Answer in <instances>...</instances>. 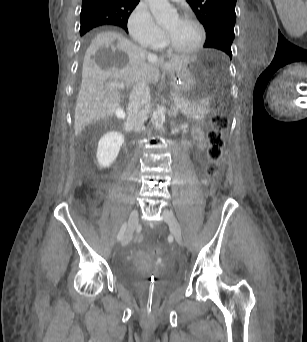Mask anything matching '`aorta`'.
Segmentation results:
<instances>
[{
  "instance_id": "762f6f07",
  "label": "aorta",
  "mask_w": 307,
  "mask_h": 342,
  "mask_svg": "<svg viewBox=\"0 0 307 342\" xmlns=\"http://www.w3.org/2000/svg\"><path fill=\"white\" fill-rule=\"evenodd\" d=\"M147 2L151 14L152 16H154L159 26H169V24H172V22H177L179 18L177 10H175V8H172L168 0H147ZM165 112V106H157V110L153 112L151 122L153 126L157 128V130L163 128V124L166 118Z\"/></svg>"
}]
</instances>
